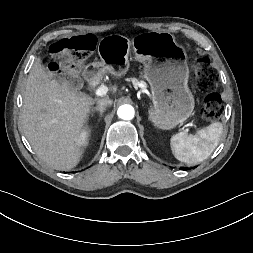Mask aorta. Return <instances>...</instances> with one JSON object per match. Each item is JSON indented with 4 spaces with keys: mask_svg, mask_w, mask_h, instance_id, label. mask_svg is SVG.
Wrapping results in <instances>:
<instances>
[{
    "mask_svg": "<svg viewBox=\"0 0 253 253\" xmlns=\"http://www.w3.org/2000/svg\"><path fill=\"white\" fill-rule=\"evenodd\" d=\"M117 114L123 120H131L134 117L135 110L131 105L125 104L118 108Z\"/></svg>",
    "mask_w": 253,
    "mask_h": 253,
    "instance_id": "aorta-1",
    "label": "aorta"
}]
</instances>
